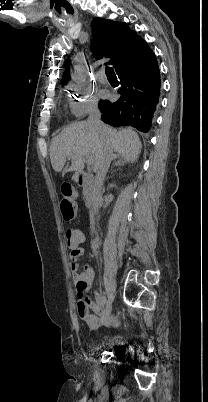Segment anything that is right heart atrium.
<instances>
[{
  "mask_svg": "<svg viewBox=\"0 0 208 402\" xmlns=\"http://www.w3.org/2000/svg\"><path fill=\"white\" fill-rule=\"evenodd\" d=\"M74 100L71 103L72 112L76 117H81L98 105L96 89L89 83L71 84Z\"/></svg>",
  "mask_w": 208,
  "mask_h": 402,
  "instance_id": "d8ad5b80",
  "label": "right heart atrium"
}]
</instances>
